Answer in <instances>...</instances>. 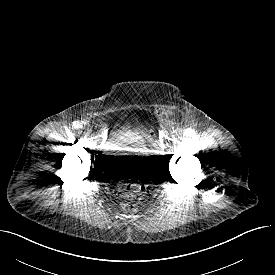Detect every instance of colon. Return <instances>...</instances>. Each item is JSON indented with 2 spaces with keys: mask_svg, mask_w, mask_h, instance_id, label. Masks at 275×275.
<instances>
[{
  "mask_svg": "<svg viewBox=\"0 0 275 275\" xmlns=\"http://www.w3.org/2000/svg\"><path fill=\"white\" fill-rule=\"evenodd\" d=\"M121 195L125 200L122 203L123 210L131 212L135 210V202L146 195V188L137 180H129L122 185Z\"/></svg>",
  "mask_w": 275,
  "mask_h": 275,
  "instance_id": "1",
  "label": "colon"
}]
</instances>
